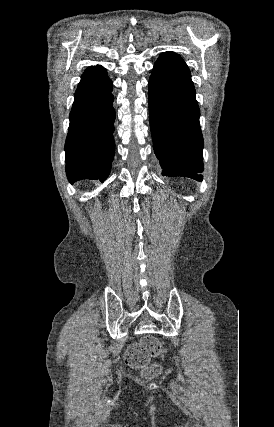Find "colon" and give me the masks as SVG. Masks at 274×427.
Instances as JSON below:
<instances>
[{"instance_id":"5ec220e1","label":"colon","mask_w":274,"mask_h":427,"mask_svg":"<svg viewBox=\"0 0 274 427\" xmlns=\"http://www.w3.org/2000/svg\"><path fill=\"white\" fill-rule=\"evenodd\" d=\"M164 351L156 338H143L127 347L124 360L129 367L156 376L160 373L161 368L158 365L150 364V360Z\"/></svg>"}]
</instances>
